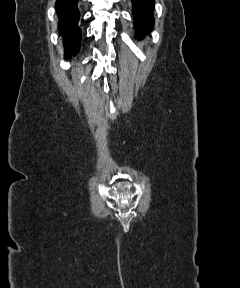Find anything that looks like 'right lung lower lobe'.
Returning <instances> with one entry per match:
<instances>
[{
	"label": "right lung lower lobe",
	"instance_id": "98d812e1",
	"mask_svg": "<svg viewBox=\"0 0 240 288\" xmlns=\"http://www.w3.org/2000/svg\"><path fill=\"white\" fill-rule=\"evenodd\" d=\"M77 2L78 0L56 1L59 33L66 40L65 59L76 56L80 47L81 30L78 28L80 14L77 9Z\"/></svg>",
	"mask_w": 240,
	"mask_h": 288
}]
</instances>
